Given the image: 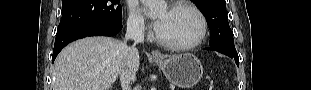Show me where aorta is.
Wrapping results in <instances>:
<instances>
[{"instance_id": "aorta-1", "label": "aorta", "mask_w": 311, "mask_h": 90, "mask_svg": "<svg viewBox=\"0 0 311 90\" xmlns=\"http://www.w3.org/2000/svg\"><path fill=\"white\" fill-rule=\"evenodd\" d=\"M142 3L148 8L150 16H156L166 9L165 0H142Z\"/></svg>"}]
</instances>
